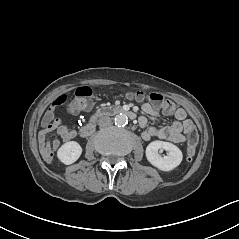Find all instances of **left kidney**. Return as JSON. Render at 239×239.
<instances>
[{
    "label": "left kidney",
    "mask_w": 239,
    "mask_h": 239,
    "mask_svg": "<svg viewBox=\"0 0 239 239\" xmlns=\"http://www.w3.org/2000/svg\"><path fill=\"white\" fill-rule=\"evenodd\" d=\"M165 150L167 155L161 156L158 151ZM147 160L162 171H170L177 167L183 158L181 150L174 144L164 141H153L146 148Z\"/></svg>",
    "instance_id": "obj_1"
}]
</instances>
